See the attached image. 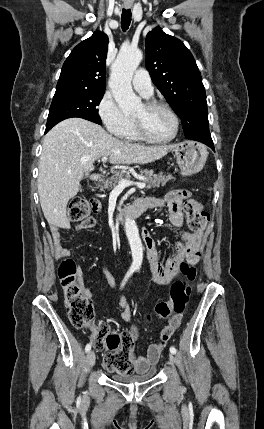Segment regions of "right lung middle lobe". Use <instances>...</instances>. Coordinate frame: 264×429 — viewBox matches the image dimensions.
<instances>
[{
  "label": "right lung middle lobe",
  "instance_id": "right-lung-middle-lobe-1",
  "mask_svg": "<svg viewBox=\"0 0 264 429\" xmlns=\"http://www.w3.org/2000/svg\"><path fill=\"white\" fill-rule=\"evenodd\" d=\"M103 95L104 91L57 90L50 106L45 132L60 121L71 117H79L101 124L96 106L99 105Z\"/></svg>",
  "mask_w": 264,
  "mask_h": 429
}]
</instances>
